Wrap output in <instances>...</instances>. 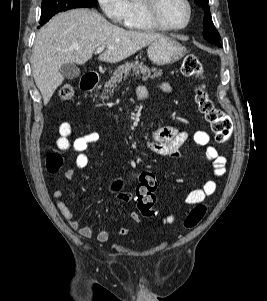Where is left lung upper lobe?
Returning a JSON list of instances; mask_svg holds the SVG:
<instances>
[{
	"label": "left lung upper lobe",
	"mask_w": 267,
	"mask_h": 301,
	"mask_svg": "<svg viewBox=\"0 0 267 301\" xmlns=\"http://www.w3.org/2000/svg\"><path fill=\"white\" fill-rule=\"evenodd\" d=\"M195 3L199 7L203 8V10L205 11V16H204V21H203V25H204L203 37H204V39L207 40L209 43L221 46V44H220L221 37L212 22L210 9L208 6V0H195Z\"/></svg>",
	"instance_id": "5c2ea615"
}]
</instances>
